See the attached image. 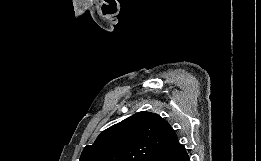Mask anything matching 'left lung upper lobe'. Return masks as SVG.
<instances>
[{
    "label": "left lung upper lobe",
    "mask_w": 261,
    "mask_h": 161,
    "mask_svg": "<svg viewBox=\"0 0 261 161\" xmlns=\"http://www.w3.org/2000/svg\"><path fill=\"white\" fill-rule=\"evenodd\" d=\"M176 137L158 114L138 112L104 130L92 145H86L79 161H150Z\"/></svg>",
    "instance_id": "1"
}]
</instances>
